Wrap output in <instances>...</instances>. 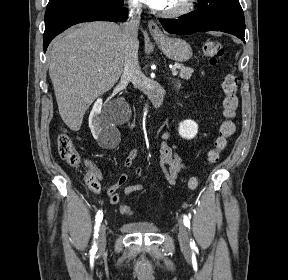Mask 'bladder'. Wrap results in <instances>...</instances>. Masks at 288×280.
Returning <instances> with one entry per match:
<instances>
[{"instance_id": "31cf9c89", "label": "bladder", "mask_w": 288, "mask_h": 280, "mask_svg": "<svg viewBox=\"0 0 288 280\" xmlns=\"http://www.w3.org/2000/svg\"><path fill=\"white\" fill-rule=\"evenodd\" d=\"M121 228L128 233L152 234L158 231V226L150 221H132L121 225Z\"/></svg>"}]
</instances>
